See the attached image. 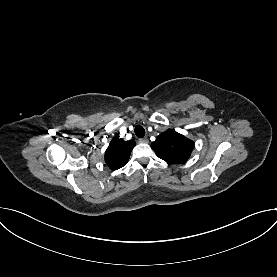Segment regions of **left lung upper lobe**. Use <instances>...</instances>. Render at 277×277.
<instances>
[{
  "instance_id": "obj_1",
  "label": "left lung upper lobe",
  "mask_w": 277,
  "mask_h": 277,
  "mask_svg": "<svg viewBox=\"0 0 277 277\" xmlns=\"http://www.w3.org/2000/svg\"><path fill=\"white\" fill-rule=\"evenodd\" d=\"M151 148L164 161L181 164L190 157L194 143L175 130L169 129L152 142Z\"/></svg>"
}]
</instances>
